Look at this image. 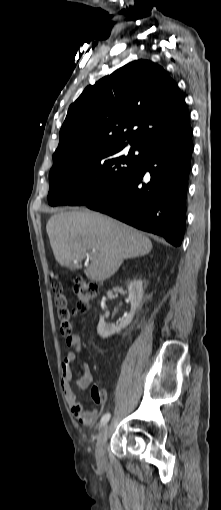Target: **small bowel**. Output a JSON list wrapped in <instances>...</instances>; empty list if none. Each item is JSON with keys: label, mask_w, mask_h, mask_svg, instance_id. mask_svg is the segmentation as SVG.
<instances>
[{"label": "small bowel", "mask_w": 221, "mask_h": 510, "mask_svg": "<svg viewBox=\"0 0 221 510\" xmlns=\"http://www.w3.org/2000/svg\"><path fill=\"white\" fill-rule=\"evenodd\" d=\"M66 342L72 350L66 353L61 365L63 372V390L74 417L83 425L92 426L98 417V412L95 410L88 411L84 408L83 404L78 401L76 389L72 384V364L76 361L78 354L81 352L83 342L81 337L76 334L68 337ZM81 370L82 374L75 379L74 384L79 389H87L93 382L92 372L89 365L85 362L81 363ZM100 392L103 397L104 393L102 391Z\"/></svg>", "instance_id": "obj_1"}]
</instances>
